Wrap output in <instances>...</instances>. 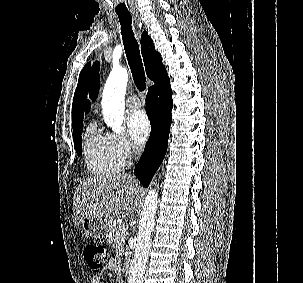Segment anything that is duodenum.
I'll list each match as a JSON object with an SVG mask.
<instances>
[{"mask_svg":"<svg viewBox=\"0 0 303 283\" xmlns=\"http://www.w3.org/2000/svg\"><path fill=\"white\" fill-rule=\"evenodd\" d=\"M123 273H124V275L126 276V277H128L129 276V274H130V264L129 263H125L124 265H123Z\"/></svg>","mask_w":303,"mask_h":283,"instance_id":"1","label":"duodenum"}]
</instances>
